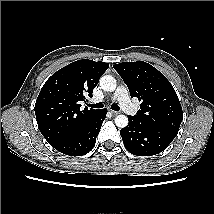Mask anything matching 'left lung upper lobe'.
<instances>
[{
	"label": "left lung upper lobe",
	"instance_id": "5c2ea615",
	"mask_svg": "<svg viewBox=\"0 0 214 214\" xmlns=\"http://www.w3.org/2000/svg\"><path fill=\"white\" fill-rule=\"evenodd\" d=\"M113 67L128 86L131 97L142 102L140 110L131 117L141 123L179 131L182 107L173 86L160 71L143 61L122 62Z\"/></svg>",
	"mask_w": 214,
	"mask_h": 214
}]
</instances>
